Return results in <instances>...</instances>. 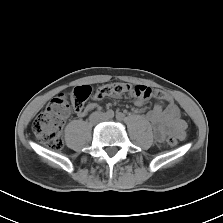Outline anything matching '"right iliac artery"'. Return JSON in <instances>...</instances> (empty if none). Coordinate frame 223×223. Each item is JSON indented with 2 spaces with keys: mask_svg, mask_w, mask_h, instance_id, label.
Listing matches in <instances>:
<instances>
[{
  "mask_svg": "<svg viewBox=\"0 0 223 223\" xmlns=\"http://www.w3.org/2000/svg\"><path fill=\"white\" fill-rule=\"evenodd\" d=\"M106 115H107L108 117L112 118V117H114V112H113L112 110H108V111L106 112Z\"/></svg>",
  "mask_w": 223,
  "mask_h": 223,
  "instance_id": "82829eb1",
  "label": "right iliac artery"
}]
</instances>
